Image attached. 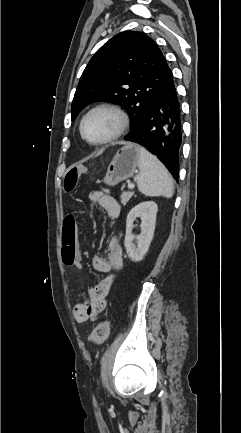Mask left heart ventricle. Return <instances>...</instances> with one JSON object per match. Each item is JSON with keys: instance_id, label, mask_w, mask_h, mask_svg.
Masks as SVG:
<instances>
[{"instance_id": "b2bd125f", "label": "left heart ventricle", "mask_w": 241, "mask_h": 433, "mask_svg": "<svg viewBox=\"0 0 241 433\" xmlns=\"http://www.w3.org/2000/svg\"><path fill=\"white\" fill-rule=\"evenodd\" d=\"M117 127V119L107 111L92 114L84 124V135L90 141H99L111 135Z\"/></svg>"}]
</instances>
